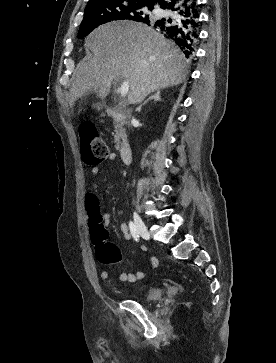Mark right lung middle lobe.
Listing matches in <instances>:
<instances>
[{
    "label": "right lung middle lobe",
    "mask_w": 276,
    "mask_h": 363,
    "mask_svg": "<svg viewBox=\"0 0 276 363\" xmlns=\"http://www.w3.org/2000/svg\"><path fill=\"white\" fill-rule=\"evenodd\" d=\"M145 7L151 11L152 6L142 2L108 0L88 5L80 25L78 37L87 36L99 25L115 20H134L142 22L149 16L143 11Z\"/></svg>",
    "instance_id": "right-lung-middle-lobe-1"
}]
</instances>
